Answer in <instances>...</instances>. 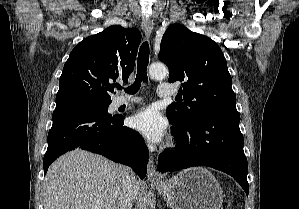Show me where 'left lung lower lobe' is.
Segmentation results:
<instances>
[{
	"instance_id": "0a47b994",
	"label": "left lung lower lobe",
	"mask_w": 299,
	"mask_h": 209,
	"mask_svg": "<svg viewBox=\"0 0 299 209\" xmlns=\"http://www.w3.org/2000/svg\"><path fill=\"white\" fill-rule=\"evenodd\" d=\"M239 122L240 115L235 106L207 109L186 125H173L171 134L177 148L160 155L158 170L167 172L209 166L231 175L248 196V165Z\"/></svg>"
}]
</instances>
